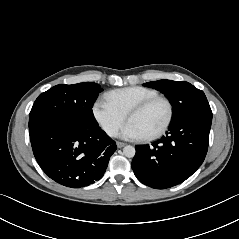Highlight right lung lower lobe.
Instances as JSON below:
<instances>
[{
    "label": "right lung lower lobe",
    "instance_id": "right-lung-lower-lobe-1",
    "mask_svg": "<svg viewBox=\"0 0 239 239\" xmlns=\"http://www.w3.org/2000/svg\"><path fill=\"white\" fill-rule=\"evenodd\" d=\"M34 156L47 176L79 188L101 179L117 146L98 125L45 127L30 135Z\"/></svg>",
    "mask_w": 239,
    "mask_h": 239
}]
</instances>
